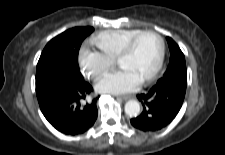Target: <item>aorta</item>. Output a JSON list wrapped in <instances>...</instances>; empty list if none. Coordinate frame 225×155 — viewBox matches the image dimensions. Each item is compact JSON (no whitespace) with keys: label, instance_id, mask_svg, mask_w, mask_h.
Listing matches in <instances>:
<instances>
[{"label":"aorta","instance_id":"762f6f07","mask_svg":"<svg viewBox=\"0 0 225 155\" xmlns=\"http://www.w3.org/2000/svg\"><path fill=\"white\" fill-rule=\"evenodd\" d=\"M125 113L129 117H137L140 114V104L136 100H129L125 104Z\"/></svg>","mask_w":225,"mask_h":155}]
</instances>
